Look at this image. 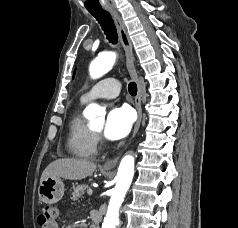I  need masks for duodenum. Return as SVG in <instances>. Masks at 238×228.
I'll return each mask as SVG.
<instances>
[{
    "instance_id": "1",
    "label": "duodenum",
    "mask_w": 238,
    "mask_h": 228,
    "mask_svg": "<svg viewBox=\"0 0 238 228\" xmlns=\"http://www.w3.org/2000/svg\"><path fill=\"white\" fill-rule=\"evenodd\" d=\"M89 218L92 222V228H100V224L102 222V214L97 210H92L89 213Z\"/></svg>"
}]
</instances>
